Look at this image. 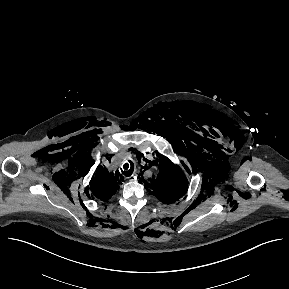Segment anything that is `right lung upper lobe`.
Wrapping results in <instances>:
<instances>
[{
  "label": "right lung upper lobe",
  "instance_id": "right-lung-upper-lobe-1",
  "mask_svg": "<svg viewBox=\"0 0 289 289\" xmlns=\"http://www.w3.org/2000/svg\"><path fill=\"white\" fill-rule=\"evenodd\" d=\"M119 178L114 177L103 167H98L97 175L91 180L92 197L107 201L118 190ZM89 195V194H88Z\"/></svg>",
  "mask_w": 289,
  "mask_h": 289
}]
</instances>
